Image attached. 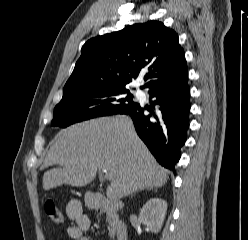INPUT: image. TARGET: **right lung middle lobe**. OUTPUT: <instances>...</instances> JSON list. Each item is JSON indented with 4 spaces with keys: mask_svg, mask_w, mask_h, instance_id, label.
Returning <instances> with one entry per match:
<instances>
[{
    "mask_svg": "<svg viewBox=\"0 0 248 240\" xmlns=\"http://www.w3.org/2000/svg\"><path fill=\"white\" fill-rule=\"evenodd\" d=\"M135 104L126 88L64 89L62 100L54 109L51 125L65 128L76 122L117 114Z\"/></svg>",
    "mask_w": 248,
    "mask_h": 240,
    "instance_id": "obj_1",
    "label": "right lung middle lobe"
}]
</instances>
